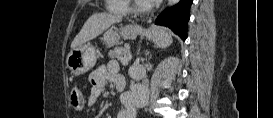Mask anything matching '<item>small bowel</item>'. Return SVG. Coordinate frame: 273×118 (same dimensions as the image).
I'll return each mask as SVG.
<instances>
[{
	"mask_svg": "<svg viewBox=\"0 0 273 118\" xmlns=\"http://www.w3.org/2000/svg\"><path fill=\"white\" fill-rule=\"evenodd\" d=\"M91 90L87 98V106L96 105L102 91L108 82L115 83L116 80L124 81L116 66H102L90 75ZM135 95L123 97L121 102L123 109L120 110L117 118H134L135 117Z\"/></svg>",
	"mask_w": 273,
	"mask_h": 118,
	"instance_id": "c3829d8e",
	"label": "small bowel"
}]
</instances>
